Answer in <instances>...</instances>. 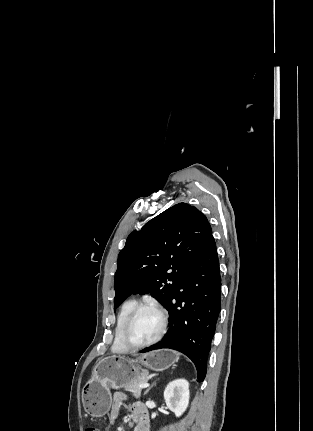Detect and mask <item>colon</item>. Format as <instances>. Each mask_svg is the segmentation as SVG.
Here are the masks:
<instances>
[{
    "mask_svg": "<svg viewBox=\"0 0 313 431\" xmlns=\"http://www.w3.org/2000/svg\"><path fill=\"white\" fill-rule=\"evenodd\" d=\"M85 431H100L98 428L95 427H89Z\"/></svg>",
    "mask_w": 313,
    "mask_h": 431,
    "instance_id": "5ec220e1",
    "label": "colon"
}]
</instances>
